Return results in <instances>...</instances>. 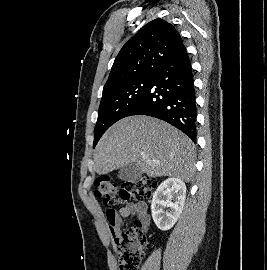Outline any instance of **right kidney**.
I'll use <instances>...</instances> for the list:
<instances>
[{
	"label": "right kidney",
	"instance_id": "obj_1",
	"mask_svg": "<svg viewBox=\"0 0 267 270\" xmlns=\"http://www.w3.org/2000/svg\"><path fill=\"white\" fill-rule=\"evenodd\" d=\"M186 198L185 183L179 178H168L156 189L152 203V218L158 229H171L182 213ZM165 208H169L165 211Z\"/></svg>",
	"mask_w": 267,
	"mask_h": 270
}]
</instances>
